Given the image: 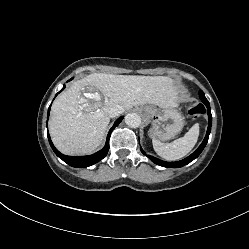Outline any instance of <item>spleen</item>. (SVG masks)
<instances>
[{
  "instance_id": "3e777b00",
  "label": "spleen",
  "mask_w": 249,
  "mask_h": 249,
  "mask_svg": "<svg viewBox=\"0 0 249 249\" xmlns=\"http://www.w3.org/2000/svg\"><path fill=\"white\" fill-rule=\"evenodd\" d=\"M199 136V124H194L189 131L181 138L172 143H163L153 139L155 152L163 159L176 161L185 157L197 143Z\"/></svg>"
}]
</instances>
